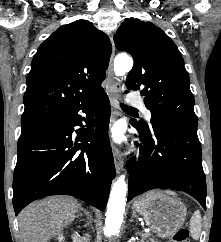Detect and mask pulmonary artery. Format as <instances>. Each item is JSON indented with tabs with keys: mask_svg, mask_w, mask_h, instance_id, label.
Segmentation results:
<instances>
[{
	"mask_svg": "<svg viewBox=\"0 0 221 242\" xmlns=\"http://www.w3.org/2000/svg\"><path fill=\"white\" fill-rule=\"evenodd\" d=\"M130 103L137 106V107H140L142 109H144V113H145V116L150 119L151 118V113L149 110H147L143 104V101L140 100V99H136V98H132L130 99Z\"/></svg>",
	"mask_w": 221,
	"mask_h": 242,
	"instance_id": "pulmonary-artery-1",
	"label": "pulmonary artery"
}]
</instances>
